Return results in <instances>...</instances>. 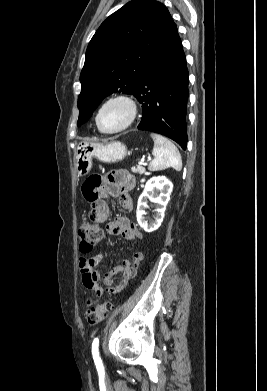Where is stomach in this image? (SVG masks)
Listing matches in <instances>:
<instances>
[{
    "mask_svg": "<svg viewBox=\"0 0 267 391\" xmlns=\"http://www.w3.org/2000/svg\"><path fill=\"white\" fill-rule=\"evenodd\" d=\"M127 156V147L120 141L107 143L80 142L75 152V167L78 176H84L92 168V159L105 163H115L123 160Z\"/></svg>",
    "mask_w": 267,
    "mask_h": 391,
    "instance_id": "stomach-1",
    "label": "stomach"
}]
</instances>
